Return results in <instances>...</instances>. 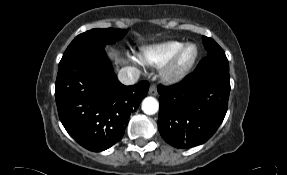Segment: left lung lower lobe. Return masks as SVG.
Instances as JSON below:
<instances>
[{
  "instance_id": "obj_1",
  "label": "left lung lower lobe",
  "mask_w": 287,
  "mask_h": 175,
  "mask_svg": "<svg viewBox=\"0 0 287 175\" xmlns=\"http://www.w3.org/2000/svg\"><path fill=\"white\" fill-rule=\"evenodd\" d=\"M158 128L170 145L185 149L205 143L228 108L230 78L221 72L196 74L172 86H158Z\"/></svg>"
}]
</instances>
